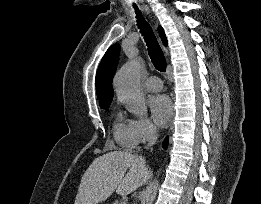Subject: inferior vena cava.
<instances>
[{
    "label": "inferior vena cava",
    "mask_w": 261,
    "mask_h": 204,
    "mask_svg": "<svg viewBox=\"0 0 261 204\" xmlns=\"http://www.w3.org/2000/svg\"><path fill=\"white\" fill-rule=\"evenodd\" d=\"M157 138H158V134H157L156 128H152L150 130V134H149V138H148V144H147L146 148L151 147L156 142ZM140 158L143 162H145V160L142 156H140Z\"/></svg>",
    "instance_id": "inferior-vena-cava-1"
}]
</instances>
